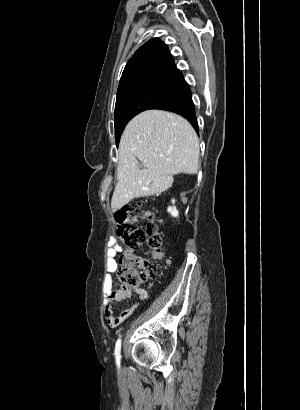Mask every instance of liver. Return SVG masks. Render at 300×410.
<instances>
[{"label":"liver","instance_id":"obj_1","mask_svg":"<svg viewBox=\"0 0 300 410\" xmlns=\"http://www.w3.org/2000/svg\"><path fill=\"white\" fill-rule=\"evenodd\" d=\"M199 153L197 134L183 117L162 110L138 114L127 124L120 139L112 211L134 198L166 191L175 174H196ZM138 160L144 169H140Z\"/></svg>","mask_w":300,"mask_h":410}]
</instances>
